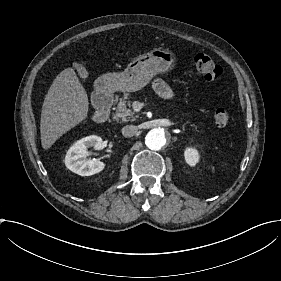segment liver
Here are the masks:
<instances>
[{
  "label": "liver",
  "mask_w": 281,
  "mask_h": 281,
  "mask_svg": "<svg viewBox=\"0 0 281 281\" xmlns=\"http://www.w3.org/2000/svg\"><path fill=\"white\" fill-rule=\"evenodd\" d=\"M89 101L87 93L73 68L60 72L45 96L40 133L43 149H49L55 141L86 119Z\"/></svg>",
  "instance_id": "obj_1"
}]
</instances>
